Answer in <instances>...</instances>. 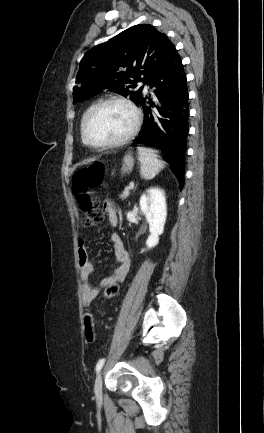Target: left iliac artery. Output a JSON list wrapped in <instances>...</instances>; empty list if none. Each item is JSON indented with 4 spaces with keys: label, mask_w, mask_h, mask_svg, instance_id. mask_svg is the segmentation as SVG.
I'll return each instance as SVG.
<instances>
[{
    "label": "left iliac artery",
    "mask_w": 264,
    "mask_h": 433,
    "mask_svg": "<svg viewBox=\"0 0 264 433\" xmlns=\"http://www.w3.org/2000/svg\"><path fill=\"white\" fill-rule=\"evenodd\" d=\"M105 362V358H102L98 361L97 365H96V372H99L100 369L102 368L103 364Z\"/></svg>",
    "instance_id": "44dca946"
}]
</instances>
